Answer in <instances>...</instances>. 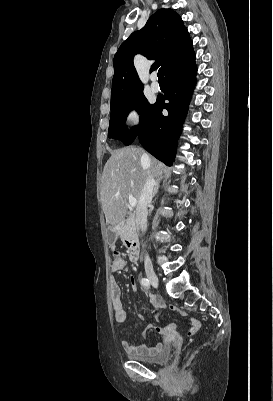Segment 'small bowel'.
I'll list each match as a JSON object with an SVG mask.
<instances>
[{
  "label": "small bowel",
  "instance_id": "1",
  "mask_svg": "<svg viewBox=\"0 0 273 401\" xmlns=\"http://www.w3.org/2000/svg\"><path fill=\"white\" fill-rule=\"evenodd\" d=\"M114 259L111 263V270L115 273L121 272L127 268L128 262L124 255L119 252V251H114L113 252ZM130 286L132 289L137 292L138 287L137 283L135 281L134 277H131L129 279ZM110 297H111V302H112V309L114 313V320L117 323H123L126 318H127V313L126 310L123 307V303L121 300L122 297V291L119 283L115 280L112 279L110 282ZM154 309L156 311H160L166 307V304L164 300L160 296H156L152 299L151 301ZM170 311L172 312H179L180 308L179 307H172L170 308ZM179 317L181 319H186L188 317V312L186 310H181L179 312ZM137 318L138 320H144V314L142 313L141 310L137 311ZM201 319L196 317L191 320V323L189 324V331L187 333V336L189 338H196L198 329L201 328ZM174 324H169L166 323L164 325H158V326H148L146 328L147 330L154 329L158 334L161 335L162 337V343L156 345L154 348H146L145 346L142 345H134L128 340H123L121 342L122 348L124 349L125 352L132 354V355H151L154 354L155 352L160 351L162 348H167L170 345L171 340L174 338H179L180 337V332L176 331V328ZM169 336H168V335Z\"/></svg>",
  "mask_w": 273,
  "mask_h": 401
}]
</instances>
